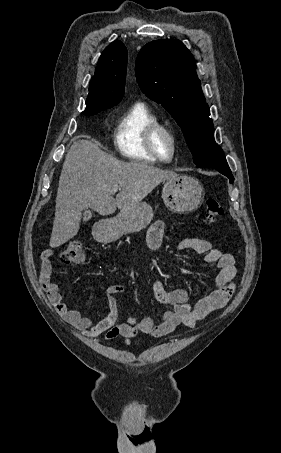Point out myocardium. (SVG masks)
<instances>
[{"mask_svg": "<svg viewBox=\"0 0 281 453\" xmlns=\"http://www.w3.org/2000/svg\"><path fill=\"white\" fill-rule=\"evenodd\" d=\"M162 138H166L170 143V156L165 158L159 149ZM177 136L174 131L163 123L152 125L147 133V146L150 153L162 163H170L174 160L177 153Z\"/></svg>", "mask_w": 281, "mask_h": 453, "instance_id": "obj_1", "label": "myocardium"}]
</instances>
